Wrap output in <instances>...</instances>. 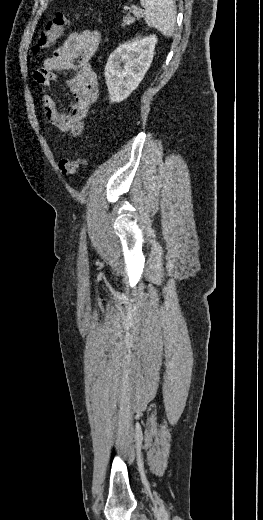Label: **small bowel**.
I'll return each mask as SVG.
<instances>
[{
	"mask_svg": "<svg viewBox=\"0 0 263 520\" xmlns=\"http://www.w3.org/2000/svg\"><path fill=\"white\" fill-rule=\"evenodd\" d=\"M100 42L99 30L85 29L72 32L54 50L53 55L44 60L42 67L34 72L35 81L43 88L41 101L46 120L73 137L83 132L84 119L98 96L99 83L96 73L91 68L90 59L97 52ZM59 71L73 73V77L68 80V86L74 101L66 112L58 110L50 93Z\"/></svg>",
	"mask_w": 263,
	"mask_h": 520,
	"instance_id": "obj_1",
	"label": "small bowel"
}]
</instances>
